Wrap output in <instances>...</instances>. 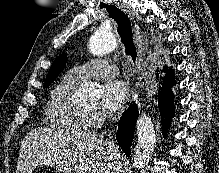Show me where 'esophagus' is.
<instances>
[{"label": "esophagus", "instance_id": "1", "mask_svg": "<svg viewBox=\"0 0 219 173\" xmlns=\"http://www.w3.org/2000/svg\"><path fill=\"white\" fill-rule=\"evenodd\" d=\"M117 6L121 8L124 12H126L132 18L131 12L127 8L123 7L119 3L117 4ZM134 31H135V38H136V43L139 47V51L140 53L144 54V52L147 50V47H148L147 37L144 34V32L141 31V29L136 23L134 25Z\"/></svg>", "mask_w": 219, "mask_h": 173}]
</instances>
